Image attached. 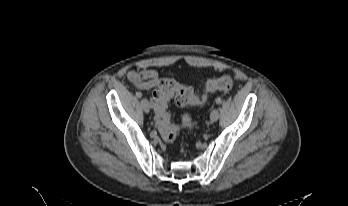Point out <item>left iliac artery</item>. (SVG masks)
<instances>
[{"label": "left iliac artery", "instance_id": "44dca946", "mask_svg": "<svg viewBox=\"0 0 348 206\" xmlns=\"http://www.w3.org/2000/svg\"><path fill=\"white\" fill-rule=\"evenodd\" d=\"M216 103H217V104H221V103H222V100H221L220 98H217V99H216Z\"/></svg>", "mask_w": 348, "mask_h": 206}]
</instances>
